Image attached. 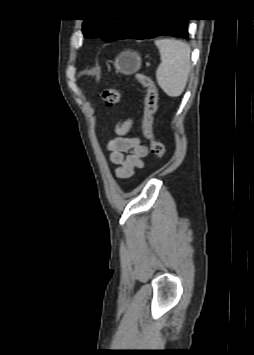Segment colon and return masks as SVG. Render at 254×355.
<instances>
[{"label":"colon","mask_w":254,"mask_h":355,"mask_svg":"<svg viewBox=\"0 0 254 355\" xmlns=\"http://www.w3.org/2000/svg\"><path fill=\"white\" fill-rule=\"evenodd\" d=\"M135 78L146 89L145 108L142 120L143 136L149 142L153 155L158 159H163L165 156V146L162 142L156 140L153 134V123L158 104L157 87L154 82L144 74H136ZM120 99L121 91L117 86L106 89L101 94V100L105 106H115L120 102Z\"/></svg>","instance_id":"obj_1"}]
</instances>
